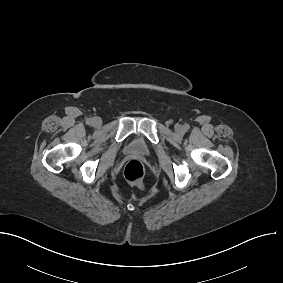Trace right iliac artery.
<instances>
[{
    "label": "right iliac artery",
    "mask_w": 283,
    "mask_h": 283,
    "mask_svg": "<svg viewBox=\"0 0 283 283\" xmlns=\"http://www.w3.org/2000/svg\"><path fill=\"white\" fill-rule=\"evenodd\" d=\"M92 122H93V120L90 119V118L87 120V123H88V124H91Z\"/></svg>",
    "instance_id": "82829eb1"
}]
</instances>
